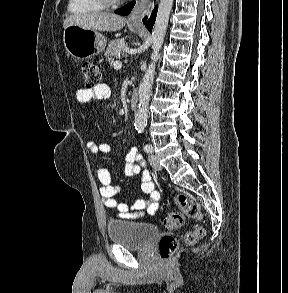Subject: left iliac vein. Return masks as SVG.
Segmentation results:
<instances>
[{
    "mask_svg": "<svg viewBox=\"0 0 288 293\" xmlns=\"http://www.w3.org/2000/svg\"><path fill=\"white\" fill-rule=\"evenodd\" d=\"M149 162H150L151 166L153 167V169H155L157 171L162 169V166L160 165L159 160L155 155H153V154L149 155Z\"/></svg>",
    "mask_w": 288,
    "mask_h": 293,
    "instance_id": "1",
    "label": "left iliac vein"
}]
</instances>
